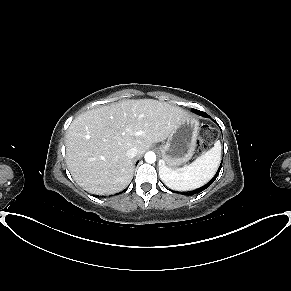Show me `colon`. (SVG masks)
<instances>
[{
	"label": "colon",
	"instance_id": "colon-1",
	"mask_svg": "<svg viewBox=\"0 0 291 291\" xmlns=\"http://www.w3.org/2000/svg\"><path fill=\"white\" fill-rule=\"evenodd\" d=\"M214 139L213 130L208 126H203L200 138L198 140V151H205L207 150Z\"/></svg>",
	"mask_w": 291,
	"mask_h": 291
}]
</instances>
